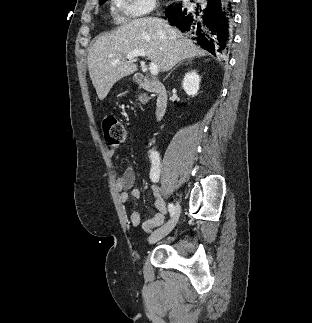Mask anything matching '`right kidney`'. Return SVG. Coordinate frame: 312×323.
Instances as JSON below:
<instances>
[{
	"mask_svg": "<svg viewBox=\"0 0 312 323\" xmlns=\"http://www.w3.org/2000/svg\"><path fill=\"white\" fill-rule=\"evenodd\" d=\"M200 84V76H198L196 70L185 74L183 80V90L188 96H196L198 94Z\"/></svg>",
	"mask_w": 312,
	"mask_h": 323,
	"instance_id": "ca27d5eb",
	"label": "right kidney"
}]
</instances>
